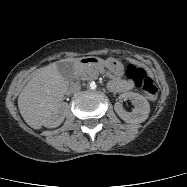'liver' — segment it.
<instances>
[{
	"label": "liver",
	"instance_id": "6515ba94",
	"mask_svg": "<svg viewBox=\"0 0 187 187\" xmlns=\"http://www.w3.org/2000/svg\"><path fill=\"white\" fill-rule=\"evenodd\" d=\"M79 58L61 61L76 62ZM37 69L18 97V108L24 121L41 129L54 108L69 90V82L60 74L57 63Z\"/></svg>",
	"mask_w": 187,
	"mask_h": 187
}]
</instances>
